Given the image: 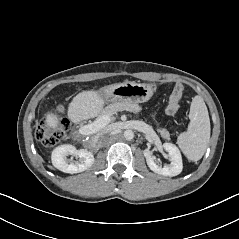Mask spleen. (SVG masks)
<instances>
[{"label": "spleen", "instance_id": "1", "mask_svg": "<svg viewBox=\"0 0 239 239\" xmlns=\"http://www.w3.org/2000/svg\"><path fill=\"white\" fill-rule=\"evenodd\" d=\"M188 130L181 133L177 144L188 160L196 162L204 155L210 139V119L208 109L201 96L192 99Z\"/></svg>", "mask_w": 239, "mask_h": 239}]
</instances>
